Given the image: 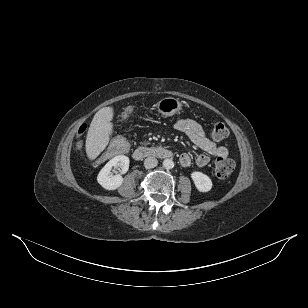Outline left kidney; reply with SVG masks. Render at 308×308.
Here are the masks:
<instances>
[{
	"instance_id": "left-kidney-1",
	"label": "left kidney",
	"mask_w": 308,
	"mask_h": 308,
	"mask_svg": "<svg viewBox=\"0 0 308 308\" xmlns=\"http://www.w3.org/2000/svg\"><path fill=\"white\" fill-rule=\"evenodd\" d=\"M191 178L200 192H209L212 188L211 179L202 172L195 171L191 173Z\"/></svg>"
}]
</instances>
